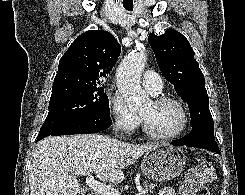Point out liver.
Masks as SVG:
<instances>
[{"mask_svg":"<svg viewBox=\"0 0 245 195\" xmlns=\"http://www.w3.org/2000/svg\"><path fill=\"white\" fill-rule=\"evenodd\" d=\"M157 146L134 145L101 134L46 137L33 154L31 195H77L76 176L93 173L104 183H121L123 169Z\"/></svg>","mask_w":245,"mask_h":195,"instance_id":"1","label":"liver"}]
</instances>
